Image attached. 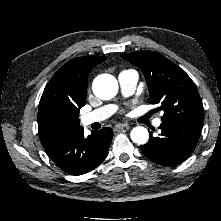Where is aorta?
<instances>
[{
    "label": "aorta",
    "mask_w": 221,
    "mask_h": 221,
    "mask_svg": "<svg viewBox=\"0 0 221 221\" xmlns=\"http://www.w3.org/2000/svg\"><path fill=\"white\" fill-rule=\"evenodd\" d=\"M94 94L103 100L113 98L118 91V82L116 78L109 74L97 76L92 85ZM131 140L136 144H145L149 139V132L145 127L137 126L131 130Z\"/></svg>",
    "instance_id": "obj_1"
}]
</instances>
